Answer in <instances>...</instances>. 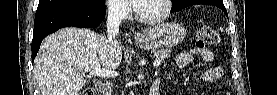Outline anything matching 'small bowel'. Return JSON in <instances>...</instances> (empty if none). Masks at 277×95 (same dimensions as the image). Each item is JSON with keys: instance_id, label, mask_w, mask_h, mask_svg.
<instances>
[{"instance_id": "c3829d8e", "label": "small bowel", "mask_w": 277, "mask_h": 95, "mask_svg": "<svg viewBox=\"0 0 277 95\" xmlns=\"http://www.w3.org/2000/svg\"><path fill=\"white\" fill-rule=\"evenodd\" d=\"M194 57H201L205 62L211 63L213 62V52L210 50H201L197 48H193L189 51H183L176 57V66L178 68H183L187 65L189 61H191ZM223 76V69L218 66H214L208 70L205 74H203L202 79L204 81H214L217 78Z\"/></svg>"}]
</instances>
